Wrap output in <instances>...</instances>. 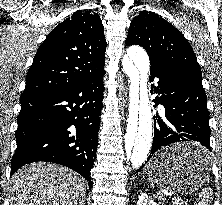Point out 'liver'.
Listing matches in <instances>:
<instances>
[{"instance_id": "6515ba94", "label": "liver", "mask_w": 222, "mask_h": 205, "mask_svg": "<svg viewBox=\"0 0 222 205\" xmlns=\"http://www.w3.org/2000/svg\"><path fill=\"white\" fill-rule=\"evenodd\" d=\"M10 192L11 205H84L86 183L67 167L37 162L13 175Z\"/></svg>"}]
</instances>
